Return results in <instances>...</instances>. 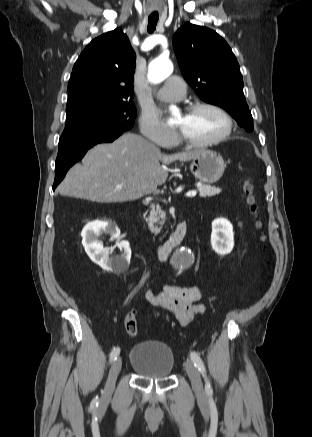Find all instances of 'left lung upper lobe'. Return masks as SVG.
<instances>
[{
    "label": "left lung upper lobe",
    "mask_w": 312,
    "mask_h": 437,
    "mask_svg": "<svg viewBox=\"0 0 312 437\" xmlns=\"http://www.w3.org/2000/svg\"><path fill=\"white\" fill-rule=\"evenodd\" d=\"M173 46L182 74L196 94L252 131L240 67L227 42L209 28L187 23L174 34Z\"/></svg>",
    "instance_id": "left-lung-upper-lobe-1"
}]
</instances>
